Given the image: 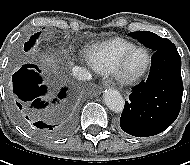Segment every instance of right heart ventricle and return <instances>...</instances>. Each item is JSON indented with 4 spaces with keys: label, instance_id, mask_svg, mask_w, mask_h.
I'll return each mask as SVG.
<instances>
[{
    "label": "right heart ventricle",
    "instance_id": "1",
    "mask_svg": "<svg viewBox=\"0 0 190 165\" xmlns=\"http://www.w3.org/2000/svg\"><path fill=\"white\" fill-rule=\"evenodd\" d=\"M136 44L123 38H114L92 46L87 52L89 65L98 73L115 72L121 57Z\"/></svg>",
    "mask_w": 190,
    "mask_h": 165
}]
</instances>
